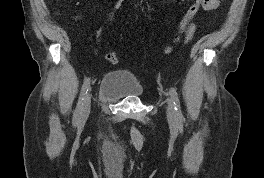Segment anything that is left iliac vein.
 Here are the masks:
<instances>
[{"mask_svg": "<svg viewBox=\"0 0 264 178\" xmlns=\"http://www.w3.org/2000/svg\"><path fill=\"white\" fill-rule=\"evenodd\" d=\"M167 117H168L169 122L172 125H175V123H176V112H175L173 101L171 99L167 100Z\"/></svg>", "mask_w": 264, "mask_h": 178, "instance_id": "4c4485c4", "label": "left iliac vein"}]
</instances>
